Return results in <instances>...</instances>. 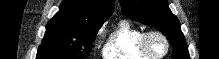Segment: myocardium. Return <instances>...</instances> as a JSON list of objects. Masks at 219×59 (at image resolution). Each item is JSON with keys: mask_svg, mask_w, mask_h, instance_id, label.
Listing matches in <instances>:
<instances>
[{"mask_svg": "<svg viewBox=\"0 0 219 59\" xmlns=\"http://www.w3.org/2000/svg\"><path fill=\"white\" fill-rule=\"evenodd\" d=\"M154 37L161 39L165 45V50L162 54H154L149 47V41L150 39ZM140 46H141L142 51L147 56H149L151 59H162L168 55L171 44H170L169 39L164 33L157 31V30H150V31L143 32L141 36Z\"/></svg>", "mask_w": 219, "mask_h": 59, "instance_id": "obj_1", "label": "myocardium"}]
</instances>
